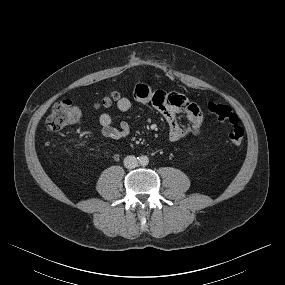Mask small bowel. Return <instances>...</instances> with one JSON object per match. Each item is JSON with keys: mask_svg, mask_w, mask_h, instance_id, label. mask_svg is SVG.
<instances>
[{"mask_svg": "<svg viewBox=\"0 0 285 285\" xmlns=\"http://www.w3.org/2000/svg\"><path fill=\"white\" fill-rule=\"evenodd\" d=\"M134 98L141 104L153 105L164 117L169 126V141L178 142L188 135H198L204 124V116L200 107L179 93H168L162 90H152L148 85L140 83L134 88ZM132 102L127 97H119L117 108L121 112L131 109ZM184 114L188 119L187 125L178 122L177 115ZM101 134L109 139L118 140L130 133V125L121 119L117 126L113 125V119L108 113H102L99 117Z\"/></svg>", "mask_w": 285, "mask_h": 285, "instance_id": "c3829d8e", "label": "small bowel"}]
</instances>
